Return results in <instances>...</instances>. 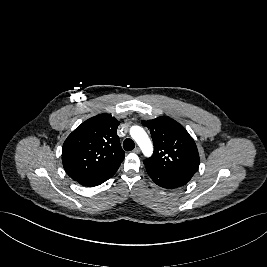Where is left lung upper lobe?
<instances>
[{
	"label": "left lung upper lobe",
	"instance_id": "obj_1",
	"mask_svg": "<svg viewBox=\"0 0 267 267\" xmlns=\"http://www.w3.org/2000/svg\"><path fill=\"white\" fill-rule=\"evenodd\" d=\"M150 130L154 152L144 164L166 175L190 180L199 167V153L186 129L168 117L142 121Z\"/></svg>",
	"mask_w": 267,
	"mask_h": 267
}]
</instances>
